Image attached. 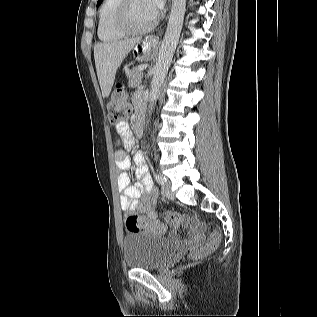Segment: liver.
I'll list each match as a JSON object with an SVG mask.
<instances>
[{
	"label": "liver",
	"mask_w": 317,
	"mask_h": 317,
	"mask_svg": "<svg viewBox=\"0 0 317 317\" xmlns=\"http://www.w3.org/2000/svg\"><path fill=\"white\" fill-rule=\"evenodd\" d=\"M141 38L125 39L94 46V59L102 96L108 97L115 80L117 69L123 59L140 43Z\"/></svg>",
	"instance_id": "6515ba94"
}]
</instances>
